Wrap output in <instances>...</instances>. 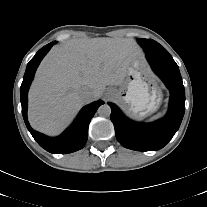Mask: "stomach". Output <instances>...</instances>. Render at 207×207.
Instances as JSON below:
<instances>
[{
    "label": "stomach",
    "mask_w": 207,
    "mask_h": 207,
    "mask_svg": "<svg viewBox=\"0 0 207 207\" xmlns=\"http://www.w3.org/2000/svg\"><path fill=\"white\" fill-rule=\"evenodd\" d=\"M108 91L114 99L126 104L129 112L137 117L156 111L163 98L161 89L150 80L147 66L141 57L130 64L123 83Z\"/></svg>",
    "instance_id": "obj_1"
}]
</instances>
